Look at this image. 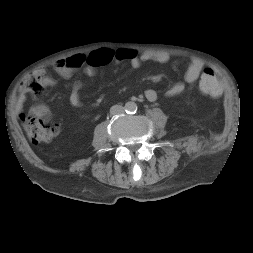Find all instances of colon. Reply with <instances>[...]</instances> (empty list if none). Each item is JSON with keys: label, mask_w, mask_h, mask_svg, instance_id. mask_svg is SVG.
<instances>
[{"label": "colon", "mask_w": 253, "mask_h": 253, "mask_svg": "<svg viewBox=\"0 0 253 253\" xmlns=\"http://www.w3.org/2000/svg\"><path fill=\"white\" fill-rule=\"evenodd\" d=\"M44 87L45 79L42 72H36L22 85L26 93L34 96L41 94ZM199 88L204 94L211 97H218L223 92L222 86L211 69H206L201 75ZM20 118L24 122L28 137L33 144L38 145L48 142L59 133V127L57 125H47L34 116L21 114Z\"/></svg>", "instance_id": "obj_1"}]
</instances>
